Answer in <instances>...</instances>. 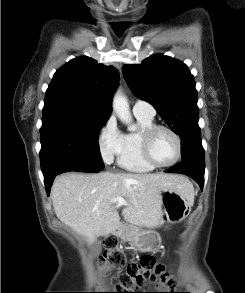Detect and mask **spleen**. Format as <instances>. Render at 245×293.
I'll return each mask as SVG.
<instances>
[{"mask_svg":"<svg viewBox=\"0 0 245 293\" xmlns=\"http://www.w3.org/2000/svg\"><path fill=\"white\" fill-rule=\"evenodd\" d=\"M189 185L191 186V188H192V192H193V194H194V189H193V186L189 183Z\"/></svg>","mask_w":245,"mask_h":293,"instance_id":"1","label":"spleen"}]
</instances>
